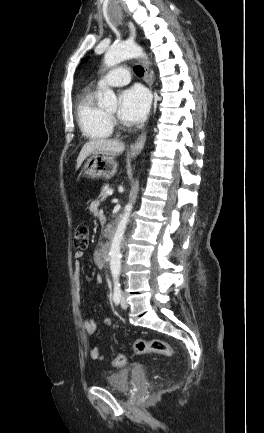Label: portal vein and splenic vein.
<instances>
[{
  "mask_svg": "<svg viewBox=\"0 0 264 433\" xmlns=\"http://www.w3.org/2000/svg\"><path fill=\"white\" fill-rule=\"evenodd\" d=\"M107 194H108V195H112V194H113V191H112V190H109V191L107 192Z\"/></svg>",
  "mask_w": 264,
  "mask_h": 433,
  "instance_id": "18ae733b",
  "label": "portal vein and splenic vein"
}]
</instances>
